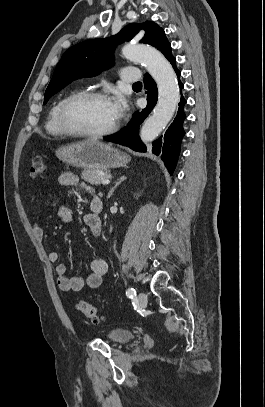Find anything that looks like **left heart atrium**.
I'll list each match as a JSON object with an SVG mask.
<instances>
[{"label": "left heart atrium", "mask_w": 265, "mask_h": 407, "mask_svg": "<svg viewBox=\"0 0 265 407\" xmlns=\"http://www.w3.org/2000/svg\"><path fill=\"white\" fill-rule=\"evenodd\" d=\"M116 119L121 118L126 111V102L122 97H116L110 101Z\"/></svg>", "instance_id": "39dd6f15"}]
</instances>
